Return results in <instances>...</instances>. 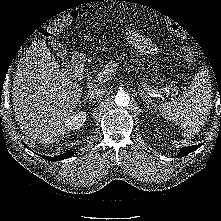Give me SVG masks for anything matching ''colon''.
I'll return each mask as SVG.
<instances>
[{
  "label": "colon",
  "instance_id": "5ec220e1",
  "mask_svg": "<svg viewBox=\"0 0 221 221\" xmlns=\"http://www.w3.org/2000/svg\"><path fill=\"white\" fill-rule=\"evenodd\" d=\"M78 18L79 13L77 11H71L63 14L59 19L52 21L46 27H44V29L41 30V34L48 39L57 36L67 29ZM166 27L172 34L181 40L182 56L189 64H192L195 61L197 51L194 44L188 41L189 39L186 29L175 21H167Z\"/></svg>",
  "mask_w": 221,
  "mask_h": 221
}]
</instances>
